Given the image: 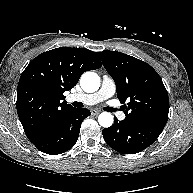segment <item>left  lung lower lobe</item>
<instances>
[{"label":"left lung lower lobe","instance_id":"left-lung-lower-lobe-1","mask_svg":"<svg viewBox=\"0 0 193 193\" xmlns=\"http://www.w3.org/2000/svg\"><path fill=\"white\" fill-rule=\"evenodd\" d=\"M167 119H153L141 122L119 121L102 131L104 140L114 150L135 154L150 146L161 134Z\"/></svg>","mask_w":193,"mask_h":193}]
</instances>
